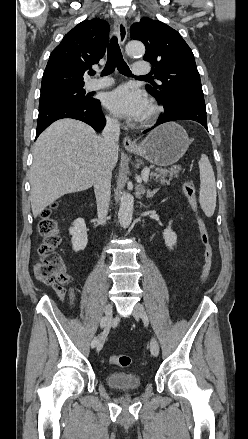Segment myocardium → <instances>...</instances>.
<instances>
[{
    "instance_id": "f54148a6",
    "label": "myocardium",
    "mask_w": 248,
    "mask_h": 439,
    "mask_svg": "<svg viewBox=\"0 0 248 439\" xmlns=\"http://www.w3.org/2000/svg\"><path fill=\"white\" fill-rule=\"evenodd\" d=\"M159 113H160L159 107L155 104H151L149 106L146 116L144 117L143 126L147 127L152 125L158 118Z\"/></svg>"
}]
</instances>
